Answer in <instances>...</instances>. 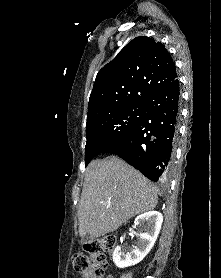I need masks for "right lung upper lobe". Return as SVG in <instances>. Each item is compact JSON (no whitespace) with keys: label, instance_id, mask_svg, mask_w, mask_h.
I'll use <instances>...</instances> for the list:
<instances>
[{"label":"right lung upper lobe","instance_id":"obj_1","mask_svg":"<svg viewBox=\"0 0 221 278\" xmlns=\"http://www.w3.org/2000/svg\"><path fill=\"white\" fill-rule=\"evenodd\" d=\"M177 78L172 57L160 42L145 36L129 42L97 74L87 121L131 103L146 100Z\"/></svg>","mask_w":221,"mask_h":278}]
</instances>
